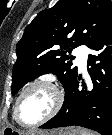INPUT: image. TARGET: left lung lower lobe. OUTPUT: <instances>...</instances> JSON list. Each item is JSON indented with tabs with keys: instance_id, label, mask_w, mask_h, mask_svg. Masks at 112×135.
<instances>
[{
	"instance_id": "0a47b994",
	"label": "left lung lower lobe",
	"mask_w": 112,
	"mask_h": 135,
	"mask_svg": "<svg viewBox=\"0 0 112 135\" xmlns=\"http://www.w3.org/2000/svg\"><path fill=\"white\" fill-rule=\"evenodd\" d=\"M90 48L96 51L88 56L90 79L76 74L58 114L39 128L81 126L112 135V22Z\"/></svg>"
}]
</instances>
